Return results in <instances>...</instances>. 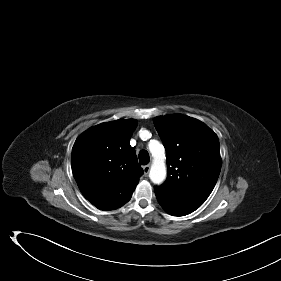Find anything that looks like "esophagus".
I'll use <instances>...</instances> for the list:
<instances>
[{"label":"esophagus","mask_w":281,"mask_h":281,"mask_svg":"<svg viewBox=\"0 0 281 281\" xmlns=\"http://www.w3.org/2000/svg\"><path fill=\"white\" fill-rule=\"evenodd\" d=\"M143 171H144V174L147 175V174L149 173V171H150V165H149V164H148V165H145V166L143 167Z\"/></svg>","instance_id":"1"}]
</instances>
